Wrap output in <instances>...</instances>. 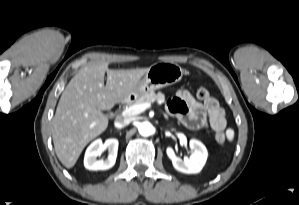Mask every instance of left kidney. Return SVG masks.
Returning a JSON list of instances; mask_svg holds the SVG:
<instances>
[{
	"label": "left kidney",
	"mask_w": 299,
	"mask_h": 205,
	"mask_svg": "<svg viewBox=\"0 0 299 205\" xmlns=\"http://www.w3.org/2000/svg\"><path fill=\"white\" fill-rule=\"evenodd\" d=\"M192 150L191 156L185 157L183 160L177 157L171 147L166 149L167 156L172 161L173 167L182 173L196 174L199 173L206 163L208 152L202 142L191 139L189 142Z\"/></svg>",
	"instance_id": "obj_1"
}]
</instances>
